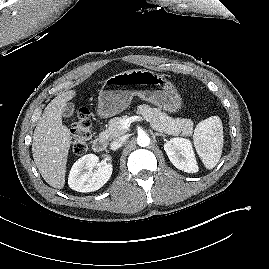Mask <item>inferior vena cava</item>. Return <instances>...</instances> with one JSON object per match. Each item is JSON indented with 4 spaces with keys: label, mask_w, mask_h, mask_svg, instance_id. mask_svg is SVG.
<instances>
[{
    "label": "inferior vena cava",
    "mask_w": 269,
    "mask_h": 269,
    "mask_svg": "<svg viewBox=\"0 0 269 269\" xmlns=\"http://www.w3.org/2000/svg\"><path fill=\"white\" fill-rule=\"evenodd\" d=\"M122 144H123L122 138L116 139L111 143V149L116 150V149L120 148L122 146Z\"/></svg>",
    "instance_id": "inferior-vena-cava-1"
}]
</instances>
